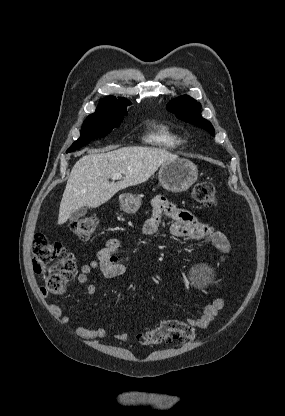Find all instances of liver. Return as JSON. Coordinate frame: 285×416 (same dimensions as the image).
Returning a JSON list of instances; mask_svg holds the SVG:
<instances>
[{
	"label": "liver",
	"instance_id": "liver-1",
	"mask_svg": "<svg viewBox=\"0 0 285 416\" xmlns=\"http://www.w3.org/2000/svg\"><path fill=\"white\" fill-rule=\"evenodd\" d=\"M117 146H107L113 150ZM73 166L61 200L58 224H65L70 214L79 208H99L111 200L119 190L147 182L158 168L178 156L162 148H120L103 154L104 150H88ZM113 174H123L120 182L110 184Z\"/></svg>",
	"mask_w": 285,
	"mask_h": 416
}]
</instances>
